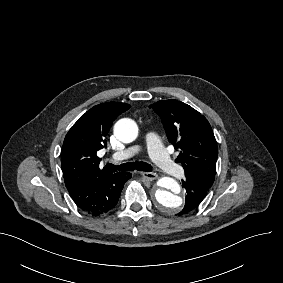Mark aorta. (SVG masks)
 Segmentation results:
<instances>
[{
  "instance_id": "aorta-1",
  "label": "aorta",
  "mask_w": 283,
  "mask_h": 283,
  "mask_svg": "<svg viewBox=\"0 0 283 283\" xmlns=\"http://www.w3.org/2000/svg\"><path fill=\"white\" fill-rule=\"evenodd\" d=\"M114 134L121 142L131 143L138 136V126L132 119L123 118L114 125ZM157 184L159 189L155 192V199L161 209L167 213L178 212L183 204L178 182L170 177H162Z\"/></svg>"
}]
</instances>
